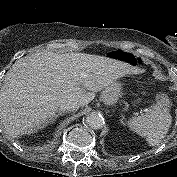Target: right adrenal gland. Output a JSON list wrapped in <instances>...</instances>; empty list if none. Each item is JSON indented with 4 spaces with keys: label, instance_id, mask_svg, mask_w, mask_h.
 Instances as JSON below:
<instances>
[{
    "label": "right adrenal gland",
    "instance_id": "2a0ac1e0",
    "mask_svg": "<svg viewBox=\"0 0 177 177\" xmlns=\"http://www.w3.org/2000/svg\"><path fill=\"white\" fill-rule=\"evenodd\" d=\"M63 113L62 112H58L54 117L53 119L50 121V123H53L60 115H62Z\"/></svg>",
    "mask_w": 177,
    "mask_h": 177
}]
</instances>
